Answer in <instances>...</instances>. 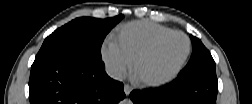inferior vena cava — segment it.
Here are the masks:
<instances>
[{
    "label": "inferior vena cava",
    "instance_id": "inferior-vena-cava-1",
    "mask_svg": "<svg viewBox=\"0 0 252 104\" xmlns=\"http://www.w3.org/2000/svg\"><path fill=\"white\" fill-rule=\"evenodd\" d=\"M106 73L113 79L121 80L123 78V73L121 69L115 65H108L106 67Z\"/></svg>",
    "mask_w": 252,
    "mask_h": 104
}]
</instances>
